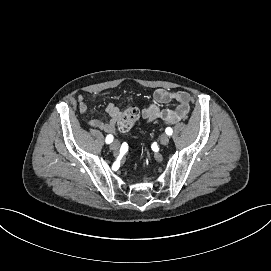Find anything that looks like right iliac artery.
Segmentation results:
<instances>
[{
  "instance_id": "82829eb1",
  "label": "right iliac artery",
  "mask_w": 271,
  "mask_h": 271,
  "mask_svg": "<svg viewBox=\"0 0 271 271\" xmlns=\"http://www.w3.org/2000/svg\"><path fill=\"white\" fill-rule=\"evenodd\" d=\"M113 141V136L112 135H107L106 137V143L110 144Z\"/></svg>"
}]
</instances>
